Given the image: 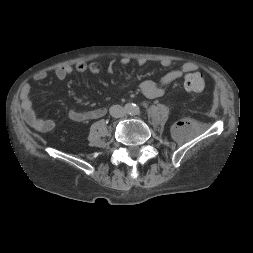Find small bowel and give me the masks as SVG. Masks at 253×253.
Masks as SVG:
<instances>
[{
	"instance_id": "c3829d8e",
	"label": "small bowel",
	"mask_w": 253,
	"mask_h": 253,
	"mask_svg": "<svg viewBox=\"0 0 253 253\" xmlns=\"http://www.w3.org/2000/svg\"><path fill=\"white\" fill-rule=\"evenodd\" d=\"M99 62L101 66L99 68L94 67V63ZM122 65H128L131 62L129 57H122L119 61ZM137 63L141 66L147 63V59L145 57H140L137 59ZM160 64L163 67H170L171 60L170 59H162ZM103 67V60L97 59L92 62L80 61L72 65H63L55 69V76L59 80H64L67 76H69L74 70L78 72H85L90 70L92 72H99ZM197 69L196 64L192 62H187L182 65L180 69L170 70L165 73L157 82L151 80L142 81L139 85L141 93L149 98H159L165 94V88L171 83L177 81L182 78L185 74L192 72ZM109 72L112 71V67L109 66ZM47 74L45 72H40L35 75L34 79L36 81H41L46 78ZM30 92L31 86L29 84H25L20 93V104L23 111V118L26 123L40 132H49L55 127V121L51 118H43L36 114L34 106L30 100ZM106 114V109L103 107L94 108L91 110L83 111L77 109H71L68 113L70 120L74 122H87L94 119H99Z\"/></svg>"
}]
</instances>
